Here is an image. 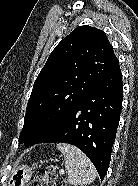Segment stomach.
<instances>
[{
    "label": "stomach",
    "instance_id": "obj_1",
    "mask_svg": "<svg viewBox=\"0 0 138 186\" xmlns=\"http://www.w3.org/2000/svg\"><path fill=\"white\" fill-rule=\"evenodd\" d=\"M32 169L27 165L16 167L10 176L9 186H26L32 176Z\"/></svg>",
    "mask_w": 138,
    "mask_h": 186
}]
</instances>
